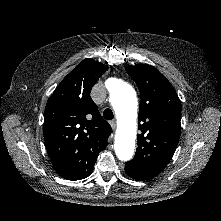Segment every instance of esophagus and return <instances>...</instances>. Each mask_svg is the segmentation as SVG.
I'll use <instances>...</instances> for the list:
<instances>
[{
	"mask_svg": "<svg viewBox=\"0 0 221 221\" xmlns=\"http://www.w3.org/2000/svg\"><path fill=\"white\" fill-rule=\"evenodd\" d=\"M110 125H111V127H112V129L113 130H115L116 129V120H112V121H110Z\"/></svg>",
	"mask_w": 221,
	"mask_h": 221,
	"instance_id": "esophagus-1",
	"label": "esophagus"
}]
</instances>
